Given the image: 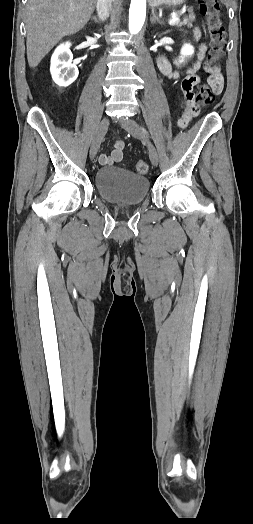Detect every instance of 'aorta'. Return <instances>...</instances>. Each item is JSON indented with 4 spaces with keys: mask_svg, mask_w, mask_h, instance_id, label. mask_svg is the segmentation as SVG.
I'll return each instance as SVG.
<instances>
[{
    "mask_svg": "<svg viewBox=\"0 0 253 524\" xmlns=\"http://www.w3.org/2000/svg\"><path fill=\"white\" fill-rule=\"evenodd\" d=\"M146 16V0H131L129 9V30L137 34L143 27Z\"/></svg>",
    "mask_w": 253,
    "mask_h": 524,
    "instance_id": "aorta-1",
    "label": "aorta"
}]
</instances>
